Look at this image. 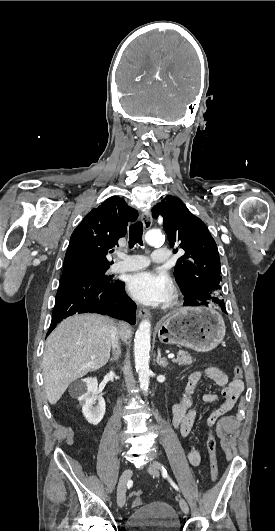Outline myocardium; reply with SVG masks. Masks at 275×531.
Masks as SVG:
<instances>
[{
  "mask_svg": "<svg viewBox=\"0 0 275 531\" xmlns=\"http://www.w3.org/2000/svg\"><path fill=\"white\" fill-rule=\"evenodd\" d=\"M175 298H176V292L172 291L171 294H170V301L175 300Z\"/></svg>",
  "mask_w": 275,
  "mask_h": 531,
  "instance_id": "1",
  "label": "myocardium"
}]
</instances>
